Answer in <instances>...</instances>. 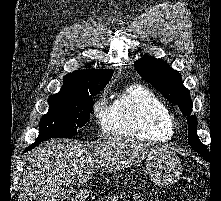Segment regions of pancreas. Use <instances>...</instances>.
Listing matches in <instances>:
<instances>
[{
  "label": "pancreas",
  "mask_w": 221,
  "mask_h": 201,
  "mask_svg": "<svg viewBox=\"0 0 221 201\" xmlns=\"http://www.w3.org/2000/svg\"><path fill=\"white\" fill-rule=\"evenodd\" d=\"M106 201H115V196H108Z\"/></svg>",
  "instance_id": "cf45deb5"
}]
</instances>
